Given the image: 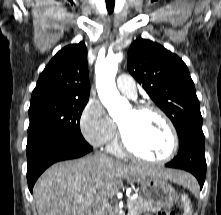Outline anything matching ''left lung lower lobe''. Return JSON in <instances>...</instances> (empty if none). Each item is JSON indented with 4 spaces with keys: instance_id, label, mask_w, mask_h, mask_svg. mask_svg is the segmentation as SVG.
I'll return each instance as SVG.
<instances>
[{
    "instance_id": "1",
    "label": "left lung lower lobe",
    "mask_w": 221,
    "mask_h": 215,
    "mask_svg": "<svg viewBox=\"0 0 221 215\" xmlns=\"http://www.w3.org/2000/svg\"><path fill=\"white\" fill-rule=\"evenodd\" d=\"M170 168L186 170L198 180L202 189L206 176L205 137L191 135L180 144L177 156L165 165Z\"/></svg>"
}]
</instances>
